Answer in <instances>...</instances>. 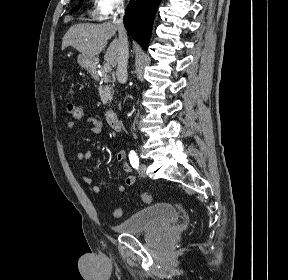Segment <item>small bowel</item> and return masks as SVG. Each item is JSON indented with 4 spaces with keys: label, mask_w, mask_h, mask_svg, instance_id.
I'll return each instance as SVG.
<instances>
[{
    "label": "small bowel",
    "mask_w": 288,
    "mask_h": 280,
    "mask_svg": "<svg viewBox=\"0 0 288 280\" xmlns=\"http://www.w3.org/2000/svg\"><path fill=\"white\" fill-rule=\"evenodd\" d=\"M87 122L91 124V129L94 133H100L102 131L103 123L101 118L97 114H89L87 117ZM68 127L72 129L74 127V122L70 121L68 123ZM92 154L90 151H80L76 154L77 159L81 161L89 160L91 158ZM115 158L121 165V169L123 173L125 174V185L119 184L116 187V194H122L126 186H133L136 182V178L134 175L131 174L132 168L130 164L128 163L127 154L124 150L120 149L117 150L115 153ZM83 181L91 186L92 193L94 195H99L101 193V187L97 184H95V180L93 178L84 176Z\"/></svg>",
    "instance_id": "c3829d8e"
}]
</instances>
